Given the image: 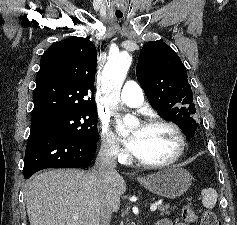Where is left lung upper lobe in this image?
Listing matches in <instances>:
<instances>
[{
  "mask_svg": "<svg viewBox=\"0 0 237 225\" xmlns=\"http://www.w3.org/2000/svg\"><path fill=\"white\" fill-rule=\"evenodd\" d=\"M136 75L151 106L185 133H195L197 122L187 71L179 56L163 41L144 44Z\"/></svg>",
  "mask_w": 237,
  "mask_h": 225,
  "instance_id": "obj_1",
  "label": "left lung upper lobe"
}]
</instances>
